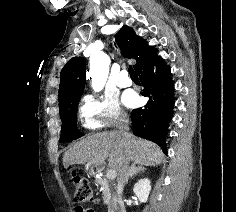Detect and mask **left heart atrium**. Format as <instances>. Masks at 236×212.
Masks as SVG:
<instances>
[{"label":"left heart atrium","instance_id":"39dd6f15","mask_svg":"<svg viewBox=\"0 0 236 212\" xmlns=\"http://www.w3.org/2000/svg\"><path fill=\"white\" fill-rule=\"evenodd\" d=\"M123 102L128 107H135L138 103V96L135 92H127L123 97Z\"/></svg>","mask_w":236,"mask_h":212}]
</instances>
